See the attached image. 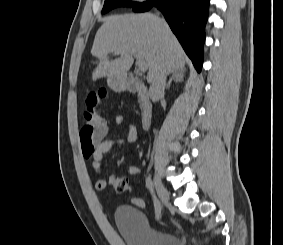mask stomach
<instances>
[{"label":"stomach","mask_w":283,"mask_h":245,"mask_svg":"<svg viewBox=\"0 0 283 245\" xmlns=\"http://www.w3.org/2000/svg\"><path fill=\"white\" fill-rule=\"evenodd\" d=\"M108 82H109V84H110L111 86H114V87H116V86H118V85H121L120 78H117V77H111V78H109Z\"/></svg>","instance_id":"0dacf381"}]
</instances>
